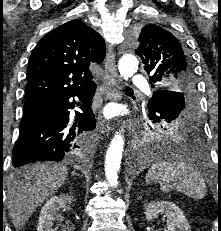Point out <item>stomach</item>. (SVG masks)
Returning <instances> with one entry per match:
<instances>
[{"instance_id":"1","label":"stomach","mask_w":221,"mask_h":231,"mask_svg":"<svg viewBox=\"0 0 221 231\" xmlns=\"http://www.w3.org/2000/svg\"><path fill=\"white\" fill-rule=\"evenodd\" d=\"M171 129H172V130H176L177 128H176V127H170V130H171Z\"/></svg>"}]
</instances>
